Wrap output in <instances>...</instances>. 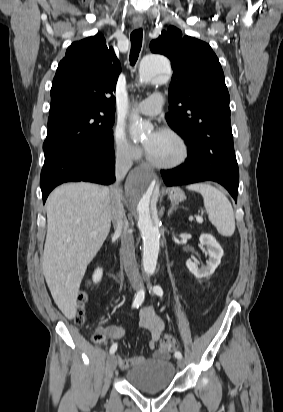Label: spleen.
Listing matches in <instances>:
<instances>
[{"mask_svg":"<svg viewBox=\"0 0 283 412\" xmlns=\"http://www.w3.org/2000/svg\"><path fill=\"white\" fill-rule=\"evenodd\" d=\"M187 189L202 195L209 220L217 231L222 236H232L235 231V218L227 197L216 187L206 183L192 184L187 186Z\"/></svg>","mask_w":283,"mask_h":412,"instance_id":"1","label":"spleen"}]
</instances>
